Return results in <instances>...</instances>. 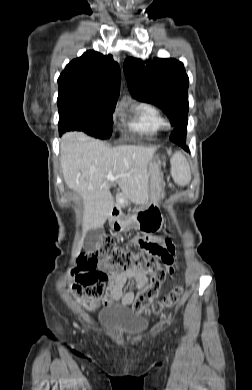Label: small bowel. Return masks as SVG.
<instances>
[{"label":"small bowel","instance_id":"1","mask_svg":"<svg viewBox=\"0 0 252 390\" xmlns=\"http://www.w3.org/2000/svg\"><path fill=\"white\" fill-rule=\"evenodd\" d=\"M150 242L154 248L151 253L157 255L161 260L164 256H169L172 261L176 253L175 245L171 238L166 236H149ZM141 236L133 238L129 242V246H139ZM99 268L108 274L107 290L103 303L106 307L117 303L120 307H128L133 304L135 294L132 290L125 292L126 289H142L147 285L148 277L141 271L115 272L109 270L102 262H99Z\"/></svg>","mask_w":252,"mask_h":390}]
</instances>
